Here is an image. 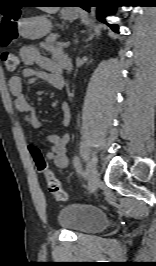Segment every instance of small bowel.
I'll use <instances>...</instances> for the list:
<instances>
[{
	"label": "small bowel",
	"instance_id": "c3829d8e",
	"mask_svg": "<svg viewBox=\"0 0 156 266\" xmlns=\"http://www.w3.org/2000/svg\"><path fill=\"white\" fill-rule=\"evenodd\" d=\"M19 55L22 62L27 66L19 75H15L9 80V90L14 97V105L19 112L23 114V119L33 128H39L41 123L36 116L34 109L28 103L24 90L27 84H33L37 81L44 80L51 83L55 88L61 89L64 86V81L61 76L63 70V61L67 59L58 50H52V58L49 59L41 54L38 48L32 45H26L20 48ZM39 66L43 70H36L32 66ZM62 110V125L67 127L71 122V111L68 104L64 103L61 106ZM46 140L51 144L46 158L53 161L56 167L66 168L69 163L67 156V145L70 141V134L63 135L50 134Z\"/></svg>",
	"mask_w": 156,
	"mask_h": 266
}]
</instances>
